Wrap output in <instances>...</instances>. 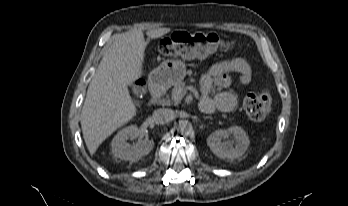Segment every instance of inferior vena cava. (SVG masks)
<instances>
[{
  "label": "inferior vena cava",
  "instance_id": "obj_1",
  "mask_svg": "<svg viewBox=\"0 0 348 206\" xmlns=\"http://www.w3.org/2000/svg\"><path fill=\"white\" fill-rule=\"evenodd\" d=\"M174 118V111L168 108H159L153 112V120L157 124H167Z\"/></svg>",
  "mask_w": 348,
  "mask_h": 206
}]
</instances>
